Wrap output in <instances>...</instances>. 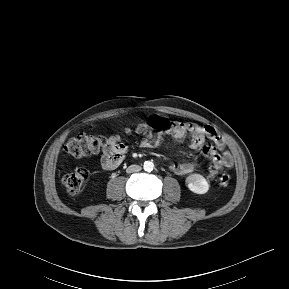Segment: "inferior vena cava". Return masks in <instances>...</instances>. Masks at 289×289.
Listing matches in <instances>:
<instances>
[{
  "label": "inferior vena cava",
  "mask_w": 289,
  "mask_h": 289,
  "mask_svg": "<svg viewBox=\"0 0 289 289\" xmlns=\"http://www.w3.org/2000/svg\"><path fill=\"white\" fill-rule=\"evenodd\" d=\"M139 171H141V166L139 165H130L126 170L127 173H134Z\"/></svg>",
  "instance_id": "602c4592"
}]
</instances>
